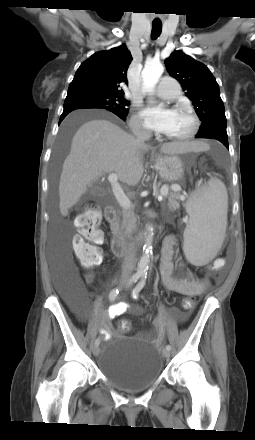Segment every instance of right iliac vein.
I'll return each instance as SVG.
<instances>
[{
	"label": "right iliac vein",
	"mask_w": 255,
	"mask_h": 440,
	"mask_svg": "<svg viewBox=\"0 0 255 440\" xmlns=\"http://www.w3.org/2000/svg\"><path fill=\"white\" fill-rule=\"evenodd\" d=\"M92 351L94 356L97 357L99 355L100 350L98 346H94Z\"/></svg>",
	"instance_id": "1"
}]
</instances>
